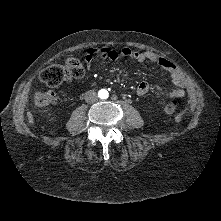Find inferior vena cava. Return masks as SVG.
<instances>
[{
    "label": "inferior vena cava",
    "instance_id": "1",
    "mask_svg": "<svg viewBox=\"0 0 221 221\" xmlns=\"http://www.w3.org/2000/svg\"><path fill=\"white\" fill-rule=\"evenodd\" d=\"M84 98L87 103H95L98 100L96 92L91 90L84 94Z\"/></svg>",
    "mask_w": 221,
    "mask_h": 221
}]
</instances>
